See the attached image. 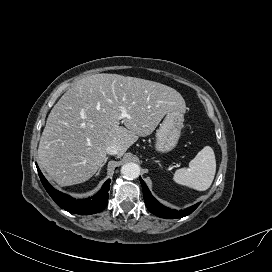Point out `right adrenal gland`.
I'll use <instances>...</instances> for the list:
<instances>
[{
  "mask_svg": "<svg viewBox=\"0 0 272 272\" xmlns=\"http://www.w3.org/2000/svg\"><path fill=\"white\" fill-rule=\"evenodd\" d=\"M108 160V157L105 158L104 162L102 163V165L100 166V168L98 169V172L96 173V176H98L103 168V166L106 164Z\"/></svg>",
  "mask_w": 272,
  "mask_h": 272,
  "instance_id": "right-adrenal-gland-1",
  "label": "right adrenal gland"
}]
</instances>
